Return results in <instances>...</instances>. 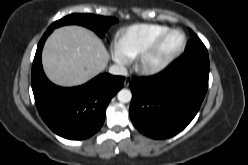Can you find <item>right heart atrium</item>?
Returning <instances> with one entry per match:
<instances>
[{
    "mask_svg": "<svg viewBox=\"0 0 248 165\" xmlns=\"http://www.w3.org/2000/svg\"><path fill=\"white\" fill-rule=\"evenodd\" d=\"M113 60L121 67L128 64L129 59L122 53V51L115 45L111 51Z\"/></svg>",
    "mask_w": 248,
    "mask_h": 165,
    "instance_id": "right-heart-atrium-1",
    "label": "right heart atrium"
}]
</instances>
